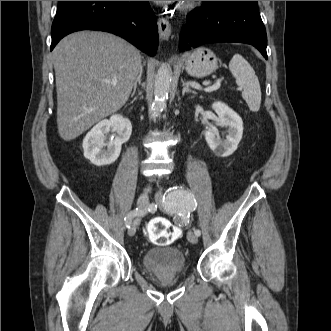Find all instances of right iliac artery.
Segmentation results:
<instances>
[{"instance_id":"right-iliac-artery-1","label":"right iliac artery","mask_w":331,"mask_h":331,"mask_svg":"<svg viewBox=\"0 0 331 331\" xmlns=\"http://www.w3.org/2000/svg\"><path fill=\"white\" fill-rule=\"evenodd\" d=\"M140 213H144L141 212L138 208L134 209L133 211H131L130 213H128V215L125 217V225L127 228H130V225L132 223V219L139 215Z\"/></svg>"}]
</instances>
